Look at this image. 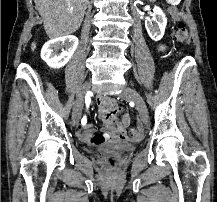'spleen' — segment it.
Listing matches in <instances>:
<instances>
[{"label":"spleen","mask_w":217,"mask_h":202,"mask_svg":"<svg viewBox=\"0 0 217 202\" xmlns=\"http://www.w3.org/2000/svg\"><path fill=\"white\" fill-rule=\"evenodd\" d=\"M167 5H179V0H167Z\"/></svg>","instance_id":"1"}]
</instances>
